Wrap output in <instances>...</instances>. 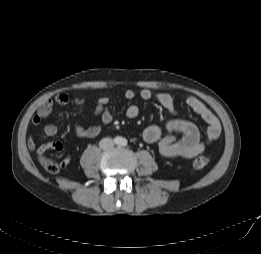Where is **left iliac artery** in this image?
<instances>
[{"label":"left iliac artery","instance_id":"obj_1","mask_svg":"<svg viewBox=\"0 0 261 254\" xmlns=\"http://www.w3.org/2000/svg\"><path fill=\"white\" fill-rule=\"evenodd\" d=\"M121 145L122 146H126L127 145V141L125 139H123L122 142H121Z\"/></svg>","mask_w":261,"mask_h":254}]
</instances>
